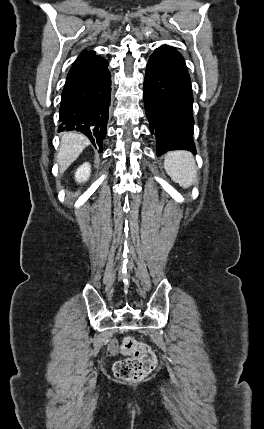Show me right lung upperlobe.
I'll list each match as a JSON object with an SVG mask.
<instances>
[{"mask_svg": "<svg viewBox=\"0 0 264 429\" xmlns=\"http://www.w3.org/2000/svg\"><path fill=\"white\" fill-rule=\"evenodd\" d=\"M89 52H90V51H88V52H84V51H83V52H82V54H81L80 56H82V55H84V54H86V53H89Z\"/></svg>", "mask_w": 264, "mask_h": 429, "instance_id": "right-lung-upper-lobe-1", "label": "right lung upper lobe"}]
</instances>
